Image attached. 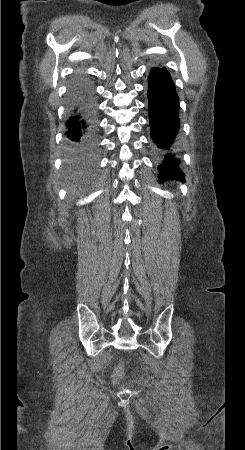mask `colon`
I'll use <instances>...</instances> for the list:
<instances>
[{
	"label": "colon",
	"mask_w": 245,
	"mask_h": 450,
	"mask_svg": "<svg viewBox=\"0 0 245 450\" xmlns=\"http://www.w3.org/2000/svg\"><path fill=\"white\" fill-rule=\"evenodd\" d=\"M116 376H117V377H121V376H122V369H121V368H119V369L116 371Z\"/></svg>",
	"instance_id": "obj_1"
}]
</instances>
